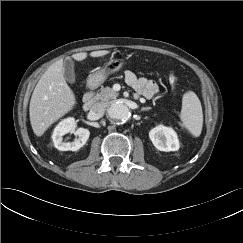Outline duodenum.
<instances>
[{"label": "duodenum", "mask_w": 243, "mask_h": 243, "mask_svg": "<svg viewBox=\"0 0 243 243\" xmlns=\"http://www.w3.org/2000/svg\"><path fill=\"white\" fill-rule=\"evenodd\" d=\"M95 103V92L93 88H90L83 97V109L88 111Z\"/></svg>", "instance_id": "duodenum-1"}]
</instances>
